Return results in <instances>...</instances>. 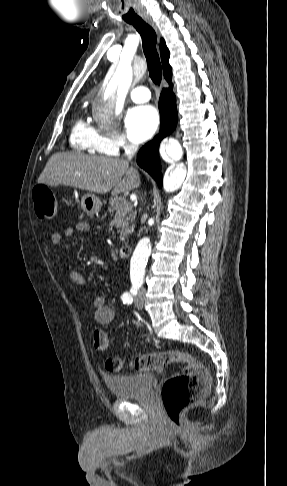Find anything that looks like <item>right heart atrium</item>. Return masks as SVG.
I'll return each instance as SVG.
<instances>
[{
    "mask_svg": "<svg viewBox=\"0 0 287 486\" xmlns=\"http://www.w3.org/2000/svg\"><path fill=\"white\" fill-rule=\"evenodd\" d=\"M134 145L118 132L100 134L97 141V149L101 153L116 155L120 150H131Z\"/></svg>",
    "mask_w": 287,
    "mask_h": 486,
    "instance_id": "right-heart-atrium-1",
    "label": "right heart atrium"
}]
</instances>
